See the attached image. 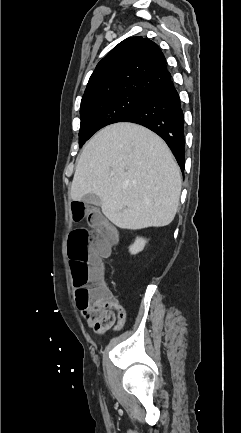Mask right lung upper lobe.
<instances>
[{"label": "right lung upper lobe", "mask_w": 241, "mask_h": 433, "mask_svg": "<svg viewBox=\"0 0 241 433\" xmlns=\"http://www.w3.org/2000/svg\"><path fill=\"white\" fill-rule=\"evenodd\" d=\"M170 79L166 59L158 45L143 37H130L98 63L81 102L121 92L148 94L152 88ZM181 150L185 152L184 146Z\"/></svg>", "instance_id": "cb5924a9"}]
</instances>
